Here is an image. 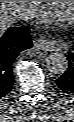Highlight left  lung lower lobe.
<instances>
[{
  "label": "left lung lower lobe",
  "instance_id": "obj_1",
  "mask_svg": "<svg viewBox=\"0 0 74 122\" xmlns=\"http://www.w3.org/2000/svg\"><path fill=\"white\" fill-rule=\"evenodd\" d=\"M68 62V70L56 79V86L59 92L74 96V52L68 54Z\"/></svg>",
  "mask_w": 74,
  "mask_h": 122
}]
</instances>
